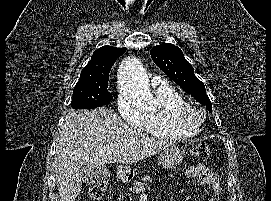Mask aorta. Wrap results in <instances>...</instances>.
Returning a JSON list of instances; mask_svg holds the SVG:
<instances>
[{
    "instance_id": "1",
    "label": "aorta",
    "mask_w": 271,
    "mask_h": 201,
    "mask_svg": "<svg viewBox=\"0 0 271 201\" xmlns=\"http://www.w3.org/2000/svg\"><path fill=\"white\" fill-rule=\"evenodd\" d=\"M123 91L141 107L153 109L157 102L153 97L144 70L136 58H125L119 67Z\"/></svg>"
}]
</instances>
